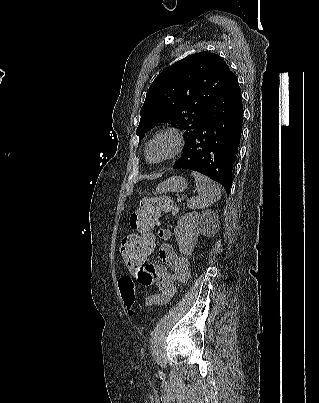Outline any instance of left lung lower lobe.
Returning <instances> with one entry per match:
<instances>
[{"instance_id": "left-lung-lower-lobe-1", "label": "left lung lower lobe", "mask_w": 319, "mask_h": 403, "mask_svg": "<svg viewBox=\"0 0 319 403\" xmlns=\"http://www.w3.org/2000/svg\"><path fill=\"white\" fill-rule=\"evenodd\" d=\"M242 118L241 91L235 74L231 72L173 168L203 173L222 184L229 194Z\"/></svg>"}]
</instances>
